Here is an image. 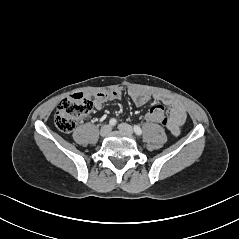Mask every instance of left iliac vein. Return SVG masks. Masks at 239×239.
Returning <instances> with one entry per match:
<instances>
[{
    "mask_svg": "<svg viewBox=\"0 0 239 239\" xmlns=\"http://www.w3.org/2000/svg\"><path fill=\"white\" fill-rule=\"evenodd\" d=\"M118 129L122 132L129 134V135H132L134 132L132 126H130L129 124H126V123L119 124Z\"/></svg>",
    "mask_w": 239,
    "mask_h": 239,
    "instance_id": "1",
    "label": "left iliac vein"
}]
</instances>
